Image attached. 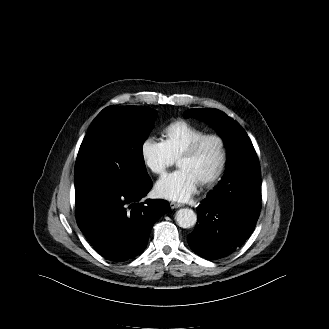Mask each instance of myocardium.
I'll return each mask as SVG.
<instances>
[{"instance_id": "myocardium-1", "label": "myocardium", "mask_w": 329, "mask_h": 329, "mask_svg": "<svg viewBox=\"0 0 329 329\" xmlns=\"http://www.w3.org/2000/svg\"><path fill=\"white\" fill-rule=\"evenodd\" d=\"M208 140H215L220 148V159L216 169L199 183L202 185L212 184L217 181L225 171L228 161V149L224 137L218 133H205L191 142L179 155L178 160L194 156L201 146Z\"/></svg>"}]
</instances>
